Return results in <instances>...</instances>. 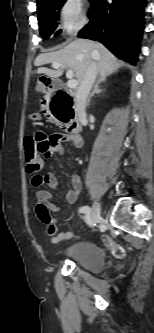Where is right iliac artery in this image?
<instances>
[{
	"label": "right iliac artery",
	"instance_id": "right-iliac-artery-1",
	"mask_svg": "<svg viewBox=\"0 0 154 333\" xmlns=\"http://www.w3.org/2000/svg\"><path fill=\"white\" fill-rule=\"evenodd\" d=\"M80 213H84L85 215V221L90 222L91 221V209L88 206H82L79 208Z\"/></svg>",
	"mask_w": 154,
	"mask_h": 333
}]
</instances>
